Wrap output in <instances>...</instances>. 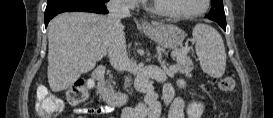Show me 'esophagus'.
<instances>
[{
  "label": "esophagus",
  "instance_id": "obj_1",
  "mask_svg": "<svg viewBox=\"0 0 273 118\" xmlns=\"http://www.w3.org/2000/svg\"><path fill=\"white\" fill-rule=\"evenodd\" d=\"M141 25L142 27H145V28L149 27V23L146 21H142Z\"/></svg>",
  "mask_w": 273,
  "mask_h": 118
}]
</instances>
